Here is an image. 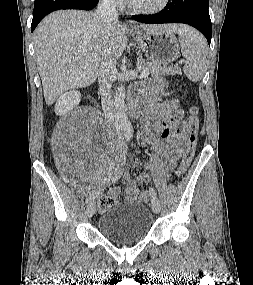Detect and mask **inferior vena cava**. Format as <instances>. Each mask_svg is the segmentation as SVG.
<instances>
[{
    "mask_svg": "<svg viewBox=\"0 0 253 285\" xmlns=\"http://www.w3.org/2000/svg\"><path fill=\"white\" fill-rule=\"evenodd\" d=\"M95 20L104 23L107 27L118 22V11L115 0H99L95 12ZM116 76V60L108 53L101 56L98 68L99 91L101 105L105 116L114 119V103L111 95L112 84Z\"/></svg>",
    "mask_w": 253,
    "mask_h": 285,
    "instance_id": "obj_1",
    "label": "inferior vena cava"
}]
</instances>
